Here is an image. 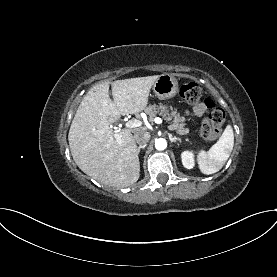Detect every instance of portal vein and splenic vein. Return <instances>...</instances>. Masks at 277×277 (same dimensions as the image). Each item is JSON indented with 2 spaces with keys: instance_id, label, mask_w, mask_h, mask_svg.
<instances>
[{
  "instance_id": "18ae733b",
  "label": "portal vein and splenic vein",
  "mask_w": 277,
  "mask_h": 277,
  "mask_svg": "<svg viewBox=\"0 0 277 277\" xmlns=\"http://www.w3.org/2000/svg\"><path fill=\"white\" fill-rule=\"evenodd\" d=\"M154 122L157 124H161L162 123V119L160 117H155L154 118ZM143 122L137 119H132L129 120L128 122H126L125 127L126 128H137L142 126Z\"/></svg>"
}]
</instances>
